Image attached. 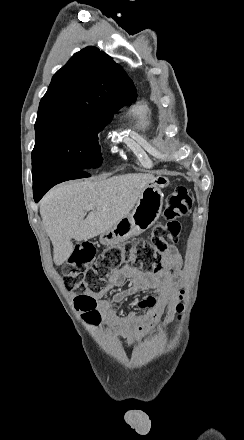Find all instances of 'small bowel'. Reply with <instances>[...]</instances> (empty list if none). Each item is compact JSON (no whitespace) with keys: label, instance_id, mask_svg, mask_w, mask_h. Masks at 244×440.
<instances>
[{"label":"small bowel","instance_id":"obj_1","mask_svg":"<svg viewBox=\"0 0 244 440\" xmlns=\"http://www.w3.org/2000/svg\"><path fill=\"white\" fill-rule=\"evenodd\" d=\"M164 269L156 274L145 273L128 264L114 269L108 276L107 285L97 293L77 295L76 301L81 299H95L99 315L96 321L101 319L105 328L109 329L113 336L124 335L133 341L142 333L154 334L153 323L158 320L163 308L175 299V287L177 279L182 276V259L178 250L171 246L163 255ZM130 282L131 286L115 292L110 299L104 298L106 294L116 288ZM147 290H155L158 297H148L140 302V307L149 308L147 316H137L130 312L119 315L113 308V304L119 303ZM89 310L90 308H84ZM172 317L170 310L166 317V323Z\"/></svg>","mask_w":244,"mask_h":440}]
</instances>
